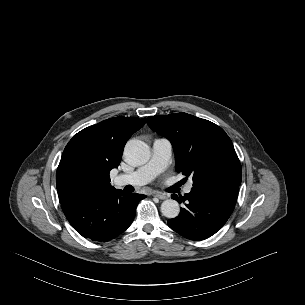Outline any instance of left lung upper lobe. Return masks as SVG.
Returning a JSON list of instances; mask_svg holds the SVG:
<instances>
[{
	"mask_svg": "<svg viewBox=\"0 0 305 305\" xmlns=\"http://www.w3.org/2000/svg\"><path fill=\"white\" fill-rule=\"evenodd\" d=\"M147 123L169 139L176 171L191 175L193 188L241 184V164L232 141L216 124L187 113L150 116Z\"/></svg>",
	"mask_w": 305,
	"mask_h": 305,
	"instance_id": "1",
	"label": "left lung upper lobe"
}]
</instances>
